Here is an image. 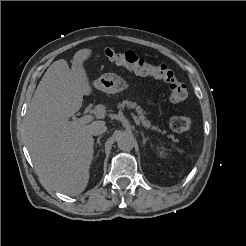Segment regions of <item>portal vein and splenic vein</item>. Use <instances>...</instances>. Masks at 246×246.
Masks as SVG:
<instances>
[{
	"instance_id": "obj_1",
	"label": "portal vein and splenic vein",
	"mask_w": 246,
	"mask_h": 246,
	"mask_svg": "<svg viewBox=\"0 0 246 246\" xmlns=\"http://www.w3.org/2000/svg\"><path fill=\"white\" fill-rule=\"evenodd\" d=\"M132 117L136 123V125L140 126V119L137 118L134 114H132ZM93 120L92 115H83L82 117L75 119L74 121L68 122L69 125L76 126V125H85Z\"/></svg>"
}]
</instances>
